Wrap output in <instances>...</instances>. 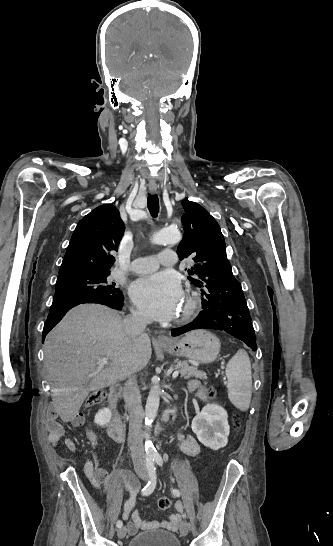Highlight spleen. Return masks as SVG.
Segmentation results:
<instances>
[{"mask_svg":"<svg viewBox=\"0 0 333 546\" xmlns=\"http://www.w3.org/2000/svg\"><path fill=\"white\" fill-rule=\"evenodd\" d=\"M227 390L230 401L240 410L249 408L252 396L251 363L247 352L240 349L228 362Z\"/></svg>","mask_w":333,"mask_h":546,"instance_id":"3e777b00","label":"spleen"}]
</instances>
